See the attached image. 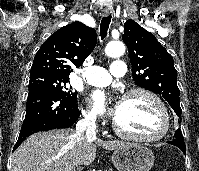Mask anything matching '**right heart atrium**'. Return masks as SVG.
<instances>
[{"label":"right heart atrium","instance_id":"right-heart-atrium-1","mask_svg":"<svg viewBox=\"0 0 199 171\" xmlns=\"http://www.w3.org/2000/svg\"><path fill=\"white\" fill-rule=\"evenodd\" d=\"M83 118L85 122L92 126H96L98 124V117L93 110L86 109L83 111Z\"/></svg>","mask_w":199,"mask_h":171}]
</instances>
